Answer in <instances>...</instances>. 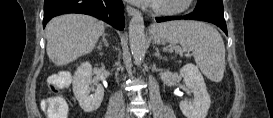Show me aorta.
<instances>
[{"instance_id": "1", "label": "aorta", "mask_w": 273, "mask_h": 118, "mask_svg": "<svg viewBox=\"0 0 273 118\" xmlns=\"http://www.w3.org/2000/svg\"><path fill=\"white\" fill-rule=\"evenodd\" d=\"M144 28L143 17L137 13L129 23V41L132 56L138 65L144 60L147 49Z\"/></svg>"}]
</instances>
